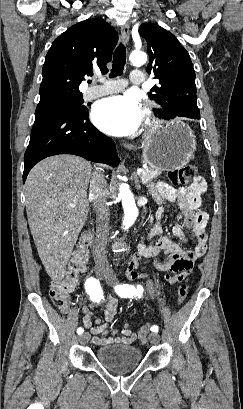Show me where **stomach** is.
Wrapping results in <instances>:
<instances>
[{
    "label": "stomach",
    "mask_w": 243,
    "mask_h": 409,
    "mask_svg": "<svg viewBox=\"0 0 243 409\" xmlns=\"http://www.w3.org/2000/svg\"><path fill=\"white\" fill-rule=\"evenodd\" d=\"M140 148L144 162L151 168L173 171L189 163L196 149V141L191 128L176 119L146 136Z\"/></svg>",
    "instance_id": "stomach-1"
}]
</instances>
